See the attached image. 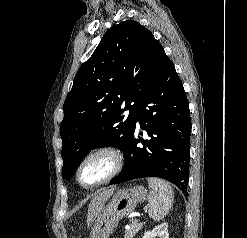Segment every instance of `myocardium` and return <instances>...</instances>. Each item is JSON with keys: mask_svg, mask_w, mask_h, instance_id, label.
Instances as JSON below:
<instances>
[{"mask_svg": "<svg viewBox=\"0 0 247 238\" xmlns=\"http://www.w3.org/2000/svg\"><path fill=\"white\" fill-rule=\"evenodd\" d=\"M98 156L108 157L112 162V168L110 172L99 181L92 184H85L84 182H82L80 177L81 170L90 160ZM123 164H124V159L122 152L116 146L110 144H102L96 146L90 151H88L77 164L75 169V181L80 187L84 189L96 188L98 186H101L111 181L114 177H116L122 170Z\"/></svg>", "mask_w": 247, "mask_h": 238, "instance_id": "obj_1", "label": "myocardium"}]
</instances>
